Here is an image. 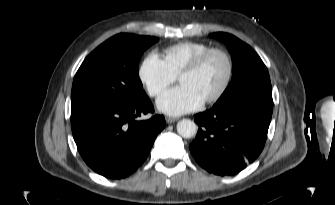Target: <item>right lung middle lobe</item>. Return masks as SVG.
I'll list each match as a JSON object with an SVG mask.
<instances>
[{
    "mask_svg": "<svg viewBox=\"0 0 335 205\" xmlns=\"http://www.w3.org/2000/svg\"><path fill=\"white\" fill-rule=\"evenodd\" d=\"M158 38L117 34L98 46L81 64L72 85L71 108L88 104H130L146 96L138 65Z\"/></svg>",
    "mask_w": 335,
    "mask_h": 205,
    "instance_id": "obj_1",
    "label": "right lung middle lobe"
}]
</instances>
